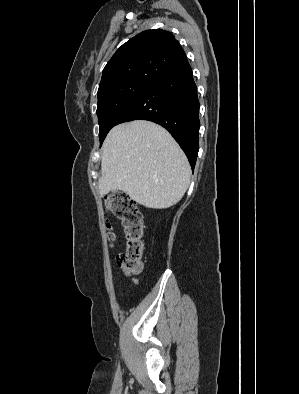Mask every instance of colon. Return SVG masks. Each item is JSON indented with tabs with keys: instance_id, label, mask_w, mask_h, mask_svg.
Returning a JSON list of instances; mask_svg holds the SVG:
<instances>
[{
	"instance_id": "colon-1",
	"label": "colon",
	"mask_w": 299,
	"mask_h": 394,
	"mask_svg": "<svg viewBox=\"0 0 299 394\" xmlns=\"http://www.w3.org/2000/svg\"><path fill=\"white\" fill-rule=\"evenodd\" d=\"M105 210L116 216L122 223L126 238V250L117 255V264L126 276L137 275L142 269L144 251V221L136 202L127 194L115 193L104 201ZM108 238L115 240L110 222L106 223Z\"/></svg>"
}]
</instances>
